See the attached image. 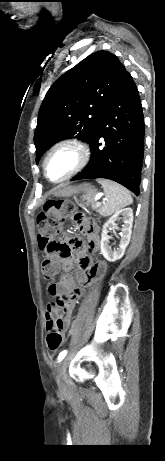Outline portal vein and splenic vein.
<instances>
[{
    "label": "portal vein and splenic vein",
    "mask_w": 165,
    "mask_h": 461,
    "mask_svg": "<svg viewBox=\"0 0 165 461\" xmlns=\"http://www.w3.org/2000/svg\"><path fill=\"white\" fill-rule=\"evenodd\" d=\"M99 199H100V195L98 194V195L95 197L96 205H97V206H100V205H101V202L98 201Z\"/></svg>",
    "instance_id": "portal-vein-and-splenic-vein-1"
}]
</instances>
